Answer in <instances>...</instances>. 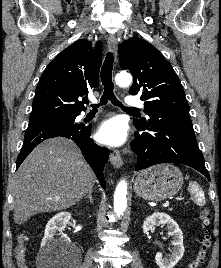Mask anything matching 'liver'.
<instances>
[{
    "label": "liver",
    "instance_id": "obj_1",
    "mask_svg": "<svg viewBox=\"0 0 221 268\" xmlns=\"http://www.w3.org/2000/svg\"><path fill=\"white\" fill-rule=\"evenodd\" d=\"M96 176L75 143L52 138L24 160L12 183L14 222L67 209L93 190Z\"/></svg>",
    "mask_w": 221,
    "mask_h": 268
}]
</instances>
